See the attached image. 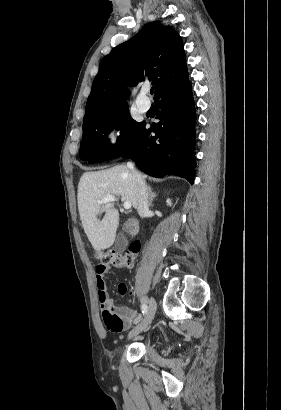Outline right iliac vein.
Masks as SVG:
<instances>
[{"label": "right iliac vein", "instance_id": "obj_1", "mask_svg": "<svg viewBox=\"0 0 281 410\" xmlns=\"http://www.w3.org/2000/svg\"><path fill=\"white\" fill-rule=\"evenodd\" d=\"M148 304L149 307L146 315L144 316L142 321L134 329L130 331V333L128 334V339H131L139 335L141 332L145 331L147 327L150 325L151 321L153 320L157 307L156 301L151 297L148 300Z\"/></svg>", "mask_w": 281, "mask_h": 410}]
</instances>
